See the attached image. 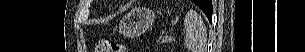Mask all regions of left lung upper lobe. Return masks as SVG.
<instances>
[{"instance_id": "5c2ea615", "label": "left lung upper lobe", "mask_w": 305, "mask_h": 52, "mask_svg": "<svg viewBox=\"0 0 305 52\" xmlns=\"http://www.w3.org/2000/svg\"><path fill=\"white\" fill-rule=\"evenodd\" d=\"M195 3L199 8H205V0H191Z\"/></svg>"}]
</instances>
